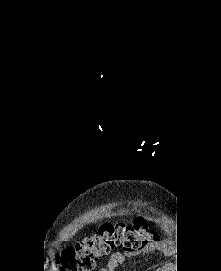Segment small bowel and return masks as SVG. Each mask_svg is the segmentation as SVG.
<instances>
[{
	"instance_id": "c3829d8e",
	"label": "small bowel",
	"mask_w": 221,
	"mask_h": 271,
	"mask_svg": "<svg viewBox=\"0 0 221 271\" xmlns=\"http://www.w3.org/2000/svg\"><path fill=\"white\" fill-rule=\"evenodd\" d=\"M163 250H165L164 244L158 240H153L144 248L136 251L115 252L109 257L106 266L100 268L99 271H116L117 268L124 263L126 258L160 252ZM157 271H164V269L160 268Z\"/></svg>"
}]
</instances>
